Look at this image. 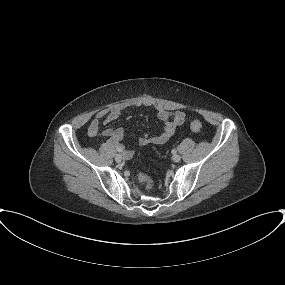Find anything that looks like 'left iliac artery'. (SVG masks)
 Returning <instances> with one entry per match:
<instances>
[{
	"label": "left iliac artery",
	"instance_id": "44dca946",
	"mask_svg": "<svg viewBox=\"0 0 285 285\" xmlns=\"http://www.w3.org/2000/svg\"><path fill=\"white\" fill-rule=\"evenodd\" d=\"M177 153V150L176 149H173L172 150V154H176Z\"/></svg>",
	"mask_w": 285,
	"mask_h": 285
}]
</instances>
